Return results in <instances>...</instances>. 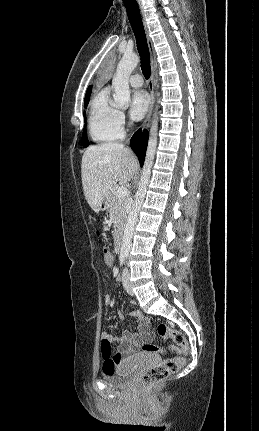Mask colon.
<instances>
[{
  "mask_svg": "<svg viewBox=\"0 0 259 431\" xmlns=\"http://www.w3.org/2000/svg\"><path fill=\"white\" fill-rule=\"evenodd\" d=\"M97 235L100 236V232H97ZM104 262L108 268L113 265V258L108 249H103ZM157 332L160 337L164 339H172L175 343V346H171L168 350L172 353L182 354V356H175L164 359L158 365L148 369L144 372L142 376V384L146 388H151L154 385L160 383L165 380L172 374L176 373L185 363L184 355L188 353L189 346L184 334L169 326L165 323H160L157 326ZM143 350L146 352H164L163 348H160L153 344H145L143 345ZM101 351L102 356H108L112 352L111 344L108 341L101 342ZM104 371L112 372L114 371V367L110 364H106L104 366Z\"/></svg>",
  "mask_w": 259,
  "mask_h": 431,
  "instance_id": "1",
  "label": "colon"
}]
</instances>
